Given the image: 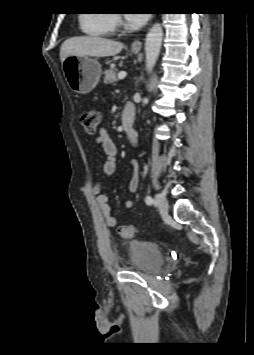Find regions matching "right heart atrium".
I'll use <instances>...</instances> for the list:
<instances>
[{
	"label": "right heart atrium",
	"mask_w": 254,
	"mask_h": 355,
	"mask_svg": "<svg viewBox=\"0 0 254 355\" xmlns=\"http://www.w3.org/2000/svg\"><path fill=\"white\" fill-rule=\"evenodd\" d=\"M113 22H114V25L117 24V23L119 22L118 17L114 16V17H113Z\"/></svg>",
	"instance_id": "obj_1"
}]
</instances>
